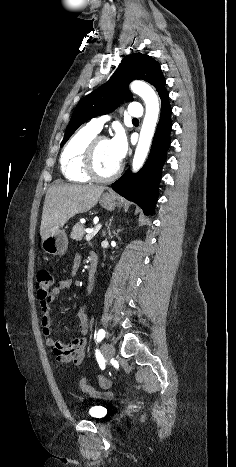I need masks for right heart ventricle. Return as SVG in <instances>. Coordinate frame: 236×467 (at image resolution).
Returning <instances> with one entry per match:
<instances>
[{
    "label": "right heart ventricle",
    "instance_id": "right-heart-ventricle-1",
    "mask_svg": "<svg viewBox=\"0 0 236 467\" xmlns=\"http://www.w3.org/2000/svg\"><path fill=\"white\" fill-rule=\"evenodd\" d=\"M97 133L87 125L78 130L64 147L60 157V168L67 180L72 182L90 181L91 178L83 168L84 151Z\"/></svg>",
    "mask_w": 236,
    "mask_h": 467
}]
</instances>
